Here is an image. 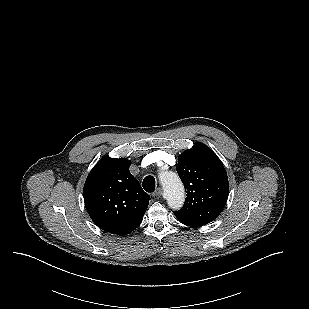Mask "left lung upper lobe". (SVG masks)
<instances>
[{
  "mask_svg": "<svg viewBox=\"0 0 309 309\" xmlns=\"http://www.w3.org/2000/svg\"><path fill=\"white\" fill-rule=\"evenodd\" d=\"M177 172L187 192L183 208L174 212L178 220L200 227L216 219L229 192L227 174L217 155L196 143L179 156Z\"/></svg>",
  "mask_w": 309,
  "mask_h": 309,
  "instance_id": "obj_1",
  "label": "left lung upper lobe"
}]
</instances>
